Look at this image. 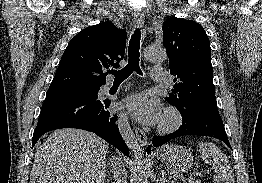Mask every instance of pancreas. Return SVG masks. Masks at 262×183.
Instances as JSON below:
<instances>
[{"label": "pancreas", "instance_id": "obj_1", "mask_svg": "<svg viewBox=\"0 0 262 183\" xmlns=\"http://www.w3.org/2000/svg\"><path fill=\"white\" fill-rule=\"evenodd\" d=\"M184 183H199L197 180H194L192 178L188 179V180H185L183 181Z\"/></svg>", "mask_w": 262, "mask_h": 183}]
</instances>
